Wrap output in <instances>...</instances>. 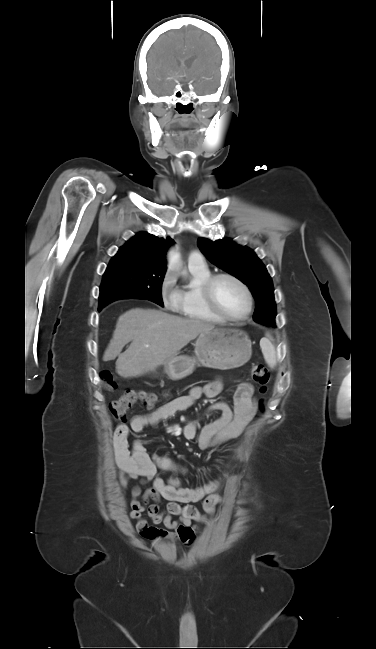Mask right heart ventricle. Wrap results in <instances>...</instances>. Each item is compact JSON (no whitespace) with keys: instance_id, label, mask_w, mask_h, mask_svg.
Wrapping results in <instances>:
<instances>
[{"instance_id":"e07e8e85","label":"right heart ventricle","mask_w":376,"mask_h":649,"mask_svg":"<svg viewBox=\"0 0 376 649\" xmlns=\"http://www.w3.org/2000/svg\"><path fill=\"white\" fill-rule=\"evenodd\" d=\"M188 273L177 288L179 302L175 310L188 319L222 323L223 319L208 308L202 294L203 283L212 275L208 266L189 264Z\"/></svg>"}]
</instances>
